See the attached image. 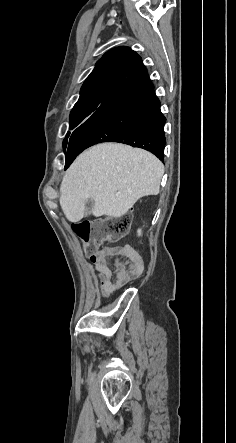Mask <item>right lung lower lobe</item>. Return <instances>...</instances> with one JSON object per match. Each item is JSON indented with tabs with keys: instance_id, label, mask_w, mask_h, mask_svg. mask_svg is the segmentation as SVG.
<instances>
[{
	"instance_id": "1",
	"label": "right lung lower lobe",
	"mask_w": 236,
	"mask_h": 443,
	"mask_svg": "<svg viewBox=\"0 0 236 443\" xmlns=\"http://www.w3.org/2000/svg\"><path fill=\"white\" fill-rule=\"evenodd\" d=\"M165 121L146 73L129 88L109 96L79 127L65 152V169L84 149L105 141L145 149L163 161Z\"/></svg>"
}]
</instances>
